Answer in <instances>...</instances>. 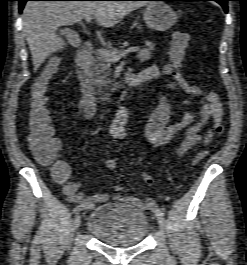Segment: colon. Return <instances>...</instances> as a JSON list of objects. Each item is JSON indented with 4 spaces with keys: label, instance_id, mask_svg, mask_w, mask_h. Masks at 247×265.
<instances>
[{
    "label": "colon",
    "instance_id": "colon-1",
    "mask_svg": "<svg viewBox=\"0 0 247 265\" xmlns=\"http://www.w3.org/2000/svg\"><path fill=\"white\" fill-rule=\"evenodd\" d=\"M190 42V36L186 32H175L170 44L167 63L172 68V77L177 85L185 92L198 98L206 96L200 88L190 84L181 74L182 62L186 49ZM59 60L53 58L42 73L36 78L30 88L29 109H28V142L36 160L44 165H52L55 178L65 177L68 173V165L56 159V154L60 149V141L54 137L50 126V119L46 107V94L50 80L56 74ZM224 131L223 124L218 122L214 125L213 132L220 136ZM207 154L206 150H201L194 156L192 163L198 164ZM107 167L115 171L117 161L113 158L107 160Z\"/></svg>",
    "mask_w": 247,
    "mask_h": 265
}]
</instances>
